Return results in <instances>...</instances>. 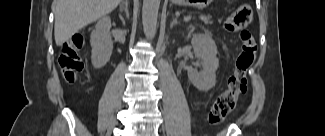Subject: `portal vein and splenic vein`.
<instances>
[{
	"label": "portal vein and splenic vein",
	"instance_id": "portal-vein-and-splenic-vein-1",
	"mask_svg": "<svg viewBox=\"0 0 325 136\" xmlns=\"http://www.w3.org/2000/svg\"><path fill=\"white\" fill-rule=\"evenodd\" d=\"M191 19V15H187L185 18H184V21H189Z\"/></svg>",
	"mask_w": 325,
	"mask_h": 136
}]
</instances>
